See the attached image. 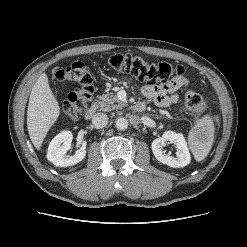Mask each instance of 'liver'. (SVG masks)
<instances>
[{"instance_id": "1", "label": "liver", "mask_w": 247, "mask_h": 247, "mask_svg": "<svg viewBox=\"0 0 247 247\" xmlns=\"http://www.w3.org/2000/svg\"><path fill=\"white\" fill-rule=\"evenodd\" d=\"M59 115V103L50 88L47 74L43 73L32 88L27 111L28 133L37 150L41 149L47 132Z\"/></svg>"}]
</instances>
